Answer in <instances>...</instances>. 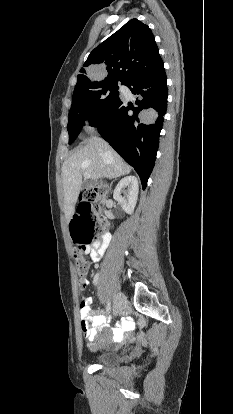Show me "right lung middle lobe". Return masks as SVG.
Wrapping results in <instances>:
<instances>
[{
	"instance_id": "dd1d6c3e",
	"label": "right lung middle lobe",
	"mask_w": 233,
	"mask_h": 414,
	"mask_svg": "<svg viewBox=\"0 0 233 414\" xmlns=\"http://www.w3.org/2000/svg\"><path fill=\"white\" fill-rule=\"evenodd\" d=\"M121 84L127 83L121 82ZM118 89L117 81L102 82L73 95L67 125L69 144H72L79 135L84 120H93L120 99Z\"/></svg>"
}]
</instances>
